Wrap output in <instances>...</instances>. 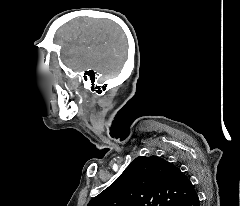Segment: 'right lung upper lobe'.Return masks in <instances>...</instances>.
Segmentation results:
<instances>
[{"mask_svg":"<svg viewBox=\"0 0 240 206\" xmlns=\"http://www.w3.org/2000/svg\"><path fill=\"white\" fill-rule=\"evenodd\" d=\"M195 194L178 167L157 156H140L87 206H176Z\"/></svg>","mask_w":240,"mask_h":206,"instance_id":"right-lung-upper-lobe-1","label":"right lung upper lobe"}]
</instances>
